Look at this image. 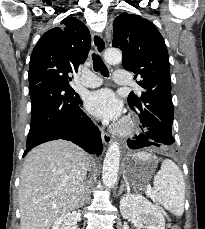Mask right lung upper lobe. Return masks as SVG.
I'll list each match as a JSON object with an SVG mask.
<instances>
[{
    "label": "right lung upper lobe",
    "instance_id": "cb5924a9",
    "mask_svg": "<svg viewBox=\"0 0 205 229\" xmlns=\"http://www.w3.org/2000/svg\"><path fill=\"white\" fill-rule=\"evenodd\" d=\"M61 24L47 31L35 45L30 58L29 88L54 81L56 76L69 77L86 60L91 46L88 28L74 17L65 18Z\"/></svg>",
    "mask_w": 205,
    "mask_h": 229
}]
</instances>
